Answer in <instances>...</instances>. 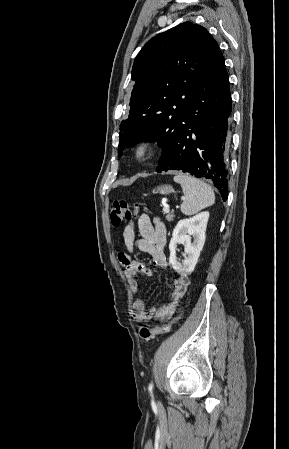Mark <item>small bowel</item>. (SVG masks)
Masks as SVG:
<instances>
[{
	"label": "small bowel",
	"mask_w": 289,
	"mask_h": 449,
	"mask_svg": "<svg viewBox=\"0 0 289 449\" xmlns=\"http://www.w3.org/2000/svg\"><path fill=\"white\" fill-rule=\"evenodd\" d=\"M136 228L139 231L140 238H136ZM123 244L125 251L120 252L118 259L124 269V274L130 286L138 290V276H152V270L144 263L131 258L135 248L139 251L148 253L154 266L165 269L168 267V261L165 254L166 229L158 219L152 221L147 215L143 214L134 223L129 224L123 232ZM189 286V278L185 275L179 276L173 281V291L170 300L158 307L146 310L145 304L138 299L134 302V320L137 322H147L152 319L166 320L172 317L179 302L185 296Z\"/></svg>",
	"instance_id": "obj_1"
}]
</instances>
